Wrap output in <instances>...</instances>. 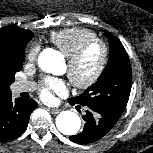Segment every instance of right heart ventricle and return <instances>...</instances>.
<instances>
[{"mask_svg": "<svg viewBox=\"0 0 153 153\" xmlns=\"http://www.w3.org/2000/svg\"><path fill=\"white\" fill-rule=\"evenodd\" d=\"M97 37L96 33L84 27H70L55 31L50 41L66 56L72 54L83 42Z\"/></svg>", "mask_w": 153, "mask_h": 153, "instance_id": "obj_1", "label": "right heart ventricle"}]
</instances>
